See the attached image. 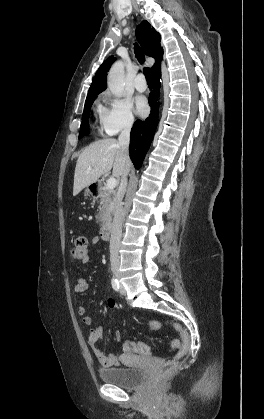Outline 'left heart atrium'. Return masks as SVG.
<instances>
[{
    "label": "left heart atrium",
    "instance_id": "1",
    "mask_svg": "<svg viewBox=\"0 0 264 419\" xmlns=\"http://www.w3.org/2000/svg\"><path fill=\"white\" fill-rule=\"evenodd\" d=\"M136 108L139 114L143 115L147 111L146 100L143 97H139L136 100Z\"/></svg>",
    "mask_w": 264,
    "mask_h": 419
}]
</instances>
